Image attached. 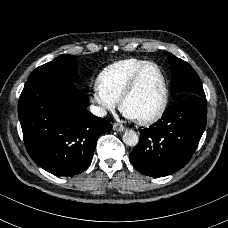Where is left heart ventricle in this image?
<instances>
[{
	"instance_id": "left-heart-ventricle-1",
	"label": "left heart ventricle",
	"mask_w": 228,
	"mask_h": 228,
	"mask_svg": "<svg viewBox=\"0 0 228 228\" xmlns=\"http://www.w3.org/2000/svg\"><path fill=\"white\" fill-rule=\"evenodd\" d=\"M164 99L163 80L155 68L148 69L142 76L135 93L126 102V113L135 119L154 115Z\"/></svg>"
}]
</instances>
